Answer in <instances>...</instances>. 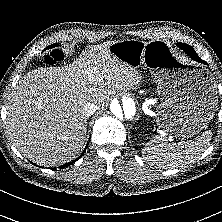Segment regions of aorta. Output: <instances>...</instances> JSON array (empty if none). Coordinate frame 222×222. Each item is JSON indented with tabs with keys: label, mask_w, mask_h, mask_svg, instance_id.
Segmentation results:
<instances>
[{
	"label": "aorta",
	"mask_w": 222,
	"mask_h": 222,
	"mask_svg": "<svg viewBox=\"0 0 222 222\" xmlns=\"http://www.w3.org/2000/svg\"><path fill=\"white\" fill-rule=\"evenodd\" d=\"M110 113L120 122L132 120L137 115L135 99L132 96L124 95L120 100H113L110 104Z\"/></svg>",
	"instance_id": "obj_1"
}]
</instances>
